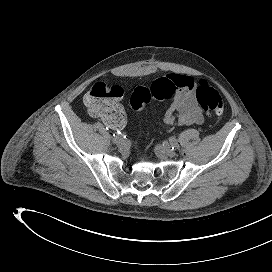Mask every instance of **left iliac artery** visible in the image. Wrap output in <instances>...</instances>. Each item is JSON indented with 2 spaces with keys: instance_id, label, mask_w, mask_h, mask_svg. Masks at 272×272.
I'll return each mask as SVG.
<instances>
[{
  "instance_id": "left-iliac-artery-1",
  "label": "left iliac artery",
  "mask_w": 272,
  "mask_h": 272,
  "mask_svg": "<svg viewBox=\"0 0 272 272\" xmlns=\"http://www.w3.org/2000/svg\"><path fill=\"white\" fill-rule=\"evenodd\" d=\"M170 144L172 145V149H177L179 147V144L175 137H170L169 138Z\"/></svg>"
}]
</instances>
